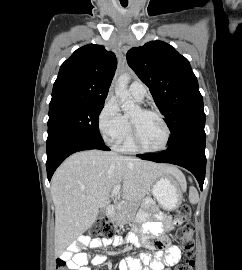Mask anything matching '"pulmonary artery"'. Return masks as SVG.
<instances>
[{"instance_id": "obj_1", "label": "pulmonary artery", "mask_w": 242, "mask_h": 270, "mask_svg": "<svg viewBox=\"0 0 242 270\" xmlns=\"http://www.w3.org/2000/svg\"><path fill=\"white\" fill-rule=\"evenodd\" d=\"M129 92L135 100L141 102L144 99L147 90L142 82L135 81L130 85Z\"/></svg>"}]
</instances>
